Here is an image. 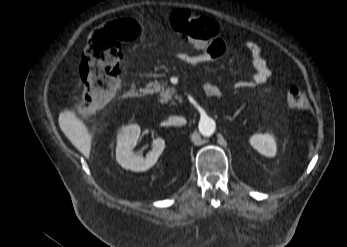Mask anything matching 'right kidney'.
I'll list each match as a JSON object with an SVG mask.
<instances>
[{
  "label": "right kidney",
  "instance_id": "right-kidney-1",
  "mask_svg": "<svg viewBox=\"0 0 347 247\" xmlns=\"http://www.w3.org/2000/svg\"><path fill=\"white\" fill-rule=\"evenodd\" d=\"M141 129L137 124L123 127L117 136L116 160L127 170L143 172L155 165L165 148V141L156 138L153 141V149L143 157L141 152H134Z\"/></svg>",
  "mask_w": 347,
  "mask_h": 247
}]
</instances>
